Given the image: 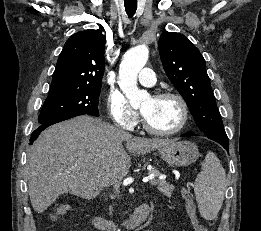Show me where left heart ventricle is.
Here are the masks:
<instances>
[{"instance_id": "left-heart-ventricle-1", "label": "left heart ventricle", "mask_w": 261, "mask_h": 231, "mask_svg": "<svg viewBox=\"0 0 261 231\" xmlns=\"http://www.w3.org/2000/svg\"><path fill=\"white\" fill-rule=\"evenodd\" d=\"M148 122L156 129L167 131L177 127L181 121V109L173 98H147L140 107Z\"/></svg>"}]
</instances>
